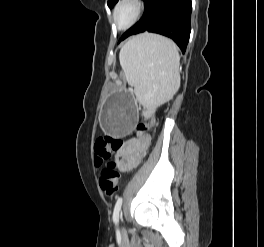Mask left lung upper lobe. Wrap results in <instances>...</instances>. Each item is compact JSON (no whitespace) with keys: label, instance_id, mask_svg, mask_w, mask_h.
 <instances>
[{"label":"left lung upper lobe","instance_id":"5c2ea615","mask_svg":"<svg viewBox=\"0 0 264 247\" xmlns=\"http://www.w3.org/2000/svg\"><path fill=\"white\" fill-rule=\"evenodd\" d=\"M117 2H118V0H108V7L112 8Z\"/></svg>","mask_w":264,"mask_h":247}]
</instances>
